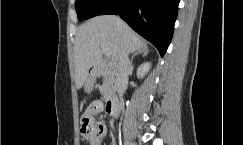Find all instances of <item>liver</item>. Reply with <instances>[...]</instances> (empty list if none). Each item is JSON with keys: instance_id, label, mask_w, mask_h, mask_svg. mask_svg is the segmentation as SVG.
Masks as SVG:
<instances>
[{"instance_id": "obj_1", "label": "liver", "mask_w": 243, "mask_h": 145, "mask_svg": "<svg viewBox=\"0 0 243 145\" xmlns=\"http://www.w3.org/2000/svg\"><path fill=\"white\" fill-rule=\"evenodd\" d=\"M102 46L111 52L117 63L123 52L132 53L147 49L141 38L120 18L113 15L97 16L82 24L75 37V85L80 89L91 68L102 63Z\"/></svg>"}]
</instances>
